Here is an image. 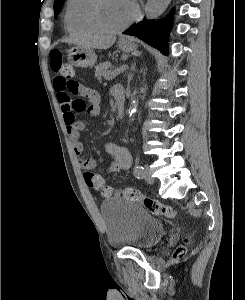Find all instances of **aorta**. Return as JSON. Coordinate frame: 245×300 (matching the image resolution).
<instances>
[{"mask_svg": "<svg viewBox=\"0 0 245 300\" xmlns=\"http://www.w3.org/2000/svg\"><path fill=\"white\" fill-rule=\"evenodd\" d=\"M171 0H148L145 6V14L148 19H156L166 10ZM138 98L131 102L130 116L137 112Z\"/></svg>", "mask_w": 245, "mask_h": 300, "instance_id": "1", "label": "aorta"}]
</instances>
